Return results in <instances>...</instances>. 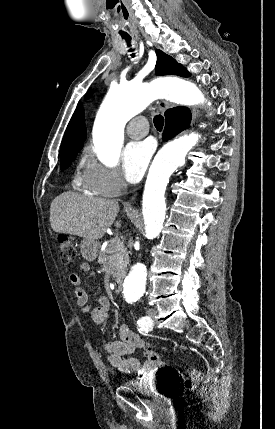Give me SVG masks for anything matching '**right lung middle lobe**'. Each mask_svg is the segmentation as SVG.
<instances>
[{"label": "right lung middle lobe", "mask_w": 275, "mask_h": 429, "mask_svg": "<svg viewBox=\"0 0 275 429\" xmlns=\"http://www.w3.org/2000/svg\"><path fill=\"white\" fill-rule=\"evenodd\" d=\"M77 154H72L61 158V171H64L71 165L72 161L77 156Z\"/></svg>", "instance_id": "right-lung-middle-lobe-1"}]
</instances>
